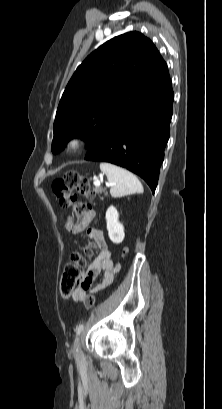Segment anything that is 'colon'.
<instances>
[{"instance_id":"obj_1","label":"colon","mask_w":222,"mask_h":409,"mask_svg":"<svg viewBox=\"0 0 222 409\" xmlns=\"http://www.w3.org/2000/svg\"><path fill=\"white\" fill-rule=\"evenodd\" d=\"M52 191L59 200V204L63 208L71 209L78 218H82L87 208L85 205L77 202L74 192H78L86 198H93L94 191L91 188L89 180L75 171H69L62 177L55 179L52 183ZM93 245L88 244L81 252H76L71 256V262L64 269L61 281L60 292L62 296L69 297L76 287L75 280L77 279L75 271L82 270L86 265L85 256L92 251ZM126 251H124V254ZM95 303V297L87 295L85 298L84 307L88 311L92 310Z\"/></svg>"}]
</instances>
